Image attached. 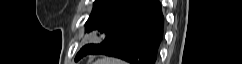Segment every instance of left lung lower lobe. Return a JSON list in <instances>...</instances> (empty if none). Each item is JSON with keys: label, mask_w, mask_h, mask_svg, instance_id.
<instances>
[{"label": "left lung lower lobe", "mask_w": 242, "mask_h": 64, "mask_svg": "<svg viewBox=\"0 0 242 64\" xmlns=\"http://www.w3.org/2000/svg\"><path fill=\"white\" fill-rule=\"evenodd\" d=\"M164 17L158 0H120L97 22L105 33L100 44H88L76 55L117 57L130 64H154L163 39Z\"/></svg>", "instance_id": "0a47b994"}]
</instances>
